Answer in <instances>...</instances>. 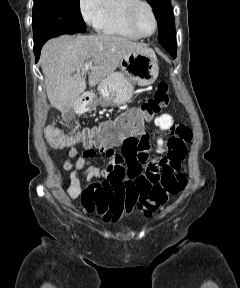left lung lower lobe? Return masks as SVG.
<instances>
[{"label":"left lung lower lobe","instance_id":"1","mask_svg":"<svg viewBox=\"0 0 240 288\" xmlns=\"http://www.w3.org/2000/svg\"><path fill=\"white\" fill-rule=\"evenodd\" d=\"M173 58H176L177 49H166Z\"/></svg>","mask_w":240,"mask_h":288}]
</instances>
